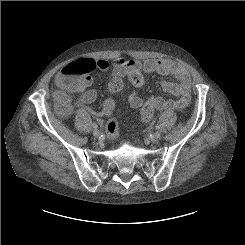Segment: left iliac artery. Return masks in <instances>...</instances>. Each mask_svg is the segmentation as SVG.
Returning <instances> with one entry per match:
<instances>
[{
	"instance_id": "44dca946",
	"label": "left iliac artery",
	"mask_w": 245,
	"mask_h": 245,
	"mask_svg": "<svg viewBox=\"0 0 245 245\" xmlns=\"http://www.w3.org/2000/svg\"><path fill=\"white\" fill-rule=\"evenodd\" d=\"M160 127H161V126H160L159 124H157V125H156V129H158V130H159V129H160Z\"/></svg>"
}]
</instances>
